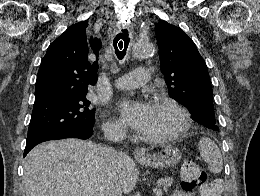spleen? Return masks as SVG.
I'll return each instance as SVG.
<instances>
[{"mask_svg":"<svg viewBox=\"0 0 260 196\" xmlns=\"http://www.w3.org/2000/svg\"><path fill=\"white\" fill-rule=\"evenodd\" d=\"M198 150L204 162H207L208 168L212 174H219L223 170L222 154L213 140L210 138H201L198 142Z\"/></svg>","mask_w":260,"mask_h":196,"instance_id":"obj_1","label":"spleen"}]
</instances>
